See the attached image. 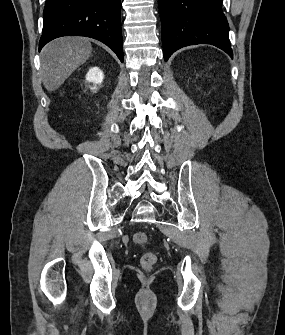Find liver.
Returning a JSON list of instances; mask_svg holds the SVG:
<instances>
[{
    "instance_id": "obj_1",
    "label": "liver",
    "mask_w": 285,
    "mask_h": 335,
    "mask_svg": "<svg viewBox=\"0 0 285 335\" xmlns=\"http://www.w3.org/2000/svg\"><path fill=\"white\" fill-rule=\"evenodd\" d=\"M91 52L88 38H58L45 46L41 52V72L46 90H58L74 70L85 64Z\"/></svg>"
}]
</instances>
